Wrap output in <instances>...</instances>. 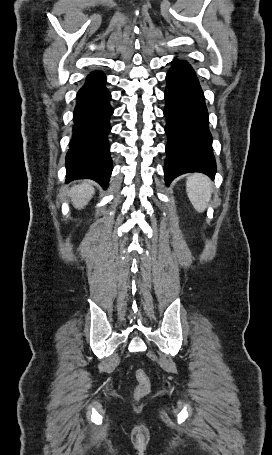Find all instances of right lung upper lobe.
Segmentation results:
<instances>
[{
  "instance_id": "obj_1",
  "label": "right lung upper lobe",
  "mask_w": 272,
  "mask_h": 455,
  "mask_svg": "<svg viewBox=\"0 0 272 455\" xmlns=\"http://www.w3.org/2000/svg\"><path fill=\"white\" fill-rule=\"evenodd\" d=\"M97 72H99V71H95V72H92L91 74H93V73H97Z\"/></svg>"
}]
</instances>
